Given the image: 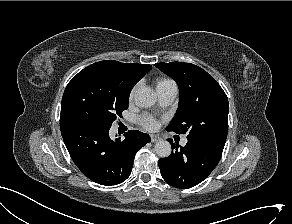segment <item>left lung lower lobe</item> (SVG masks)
<instances>
[{
  "instance_id": "obj_1",
  "label": "left lung lower lobe",
  "mask_w": 292,
  "mask_h": 224,
  "mask_svg": "<svg viewBox=\"0 0 292 224\" xmlns=\"http://www.w3.org/2000/svg\"><path fill=\"white\" fill-rule=\"evenodd\" d=\"M174 152L160 159L158 165L163 179L178 188L193 187L202 182L217 166L223 149L202 142L188 140L185 147L168 139Z\"/></svg>"
}]
</instances>
